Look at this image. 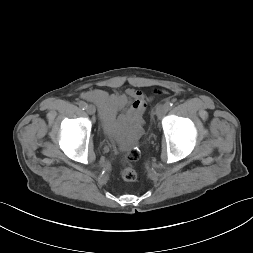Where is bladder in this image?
<instances>
[{"mask_svg": "<svg viewBox=\"0 0 253 253\" xmlns=\"http://www.w3.org/2000/svg\"><path fill=\"white\" fill-rule=\"evenodd\" d=\"M139 133H140V128H139V130L137 131V133L134 136H137Z\"/></svg>", "mask_w": 253, "mask_h": 253, "instance_id": "31cf9c89", "label": "bladder"}]
</instances>
